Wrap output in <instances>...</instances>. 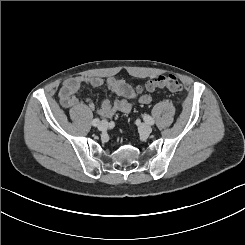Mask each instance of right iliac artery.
<instances>
[{"label":"right iliac artery","mask_w":245,"mask_h":245,"mask_svg":"<svg viewBox=\"0 0 245 245\" xmlns=\"http://www.w3.org/2000/svg\"><path fill=\"white\" fill-rule=\"evenodd\" d=\"M99 123H100V119H99V118H95V119H93V121H92V125L95 126V127L98 126Z\"/></svg>","instance_id":"82829eb1"}]
</instances>
